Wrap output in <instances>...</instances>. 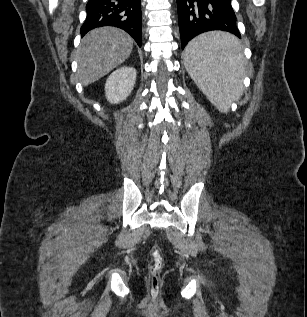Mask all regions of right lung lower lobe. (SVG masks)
<instances>
[{"instance_id":"1","label":"right lung lower lobe","mask_w":307,"mask_h":317,"mask_svg":"<svg viewBox=\"0 0 307 317\" xmlns=\"http://www.w3.org/2000/svg\"><path fill=\"white\" fill-rule=\"evenodd\" d=\"M87 17L81 35L101 26H114L125 30L141 47L142 22L140 0H89Z\"/></svg>"}]
</instances>
